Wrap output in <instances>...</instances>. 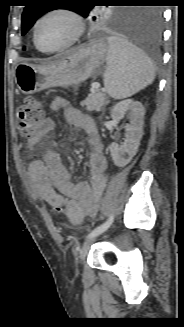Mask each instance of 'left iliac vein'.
<instances>
[{"mask_svg":"<svg viewBox=\"0 0 184 327\" xmlns=\"http://www.w3.org/2000/svg\"><path fill=\"white\" fill-rule=\"evenodd\" d=\"M97 237H98V235H95L93 237L88 238L84 242V244H83V246H82V248L80 250V259H81V261H83L85 259V257L87 256L92 244L97 240Z\"/></svg>","mask_w":184,"mask_h":327,"instance_id":"obj_1","label":"left iliac vein"}]
</instances>
